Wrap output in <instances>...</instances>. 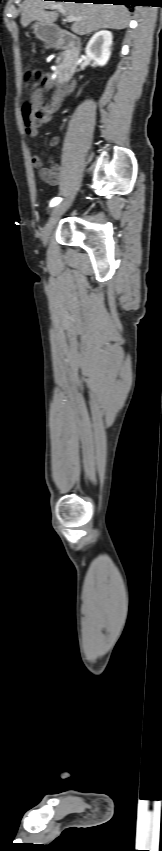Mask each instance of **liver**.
Returning <instances> with one entry per match:
<instances>
[{
  "mask_svg": "<svg viewBox=\"0 0 162 851\" xmlns=\"http://www.w3.org/2000/svg\"><path fill=\"white\" fill-rule=\"evenodd\" d=\"M56 6L57 8H54ZM63 7L68 15L78 20L74 21L71 30L78 35H86L100 29L121 30L128 26L129 11L123 5L94 4L83 2H63L45 0H24L22 4L21 24L27 27L32 21L52 25L58 17L56 11L46 12L45 9Z\"/></svg>",
  "mask_w": 162,
  "mask_h": 851,
  "instance_id": "1",
  "label": "liver"
}]
</instances>
